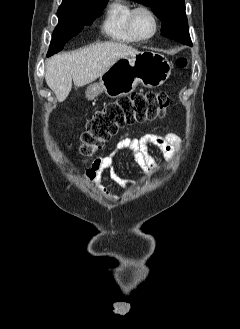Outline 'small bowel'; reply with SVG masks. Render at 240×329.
<instances>
[{
    "instance_id": "1",
    "label": "small bowel",
    "mask_w": 240,
    "mask_h": 329,
    "mask_svg": "<svg viewBox=\"0 0 240 329\" xmlns=\"http://www.w3.org/2000/svg\"><path fill=\"white\" fill-rule=\"evenodd\" d=\"M181 143V138L177 133H167L158 135L144 133L139 137H131L129 134L121 136L115 144L114 150L96 159L85 173V180L96 186L98 191L107 197H112L108 190L101 185L103 174H107L109 179L120 186H130L131 183L123 179L116 172L114 166L116 156L121 151H127L133 161L147 174L151 175L157 169V164L149 154V146L157 147L170 161Z\"/></svg>"
}]
</instances>
